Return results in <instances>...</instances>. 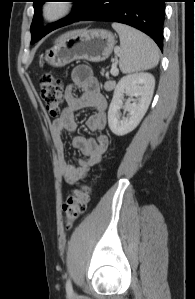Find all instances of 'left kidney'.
Wrapping results in <instances>:
<instances>
[{
    "label": "left kidney",
    "mask_w": 195,
    "mask_h": 299,
    "mask_svg": "<svg viewBox=\"0 0 195 299\" xmlns=\"http://www.w3.org/2000/svg\"><path fill=\"white\" fill-rule=\"evenodd\" d=\"M154 87L155 78L150 73H134L120 79L108 110V125L112 133L124 136L138 126L150 105ZM124 94L131 97L132 103L123 105ZM121 109L128 112L126 117L121 116Z\"/></svg>",
    "instance_id": "obj_1"
}]
</instances>
